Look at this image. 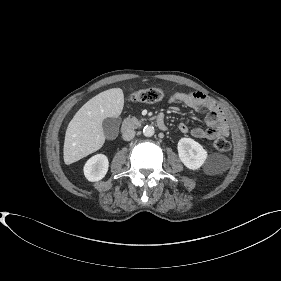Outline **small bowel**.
Returning a JSON list of instances; mask_svg holds the SVG:
<instances>
[{"label": "small bowel", "instance_id": "small-bowel-1", "mask_svg": "<svg viewBox=\"0 0 281 281\" xmlns=\"http://www.w3.org/2000/svg\"><path fill=\"white\" fill-rule=\"evenodd\" d=\"M168 101L172 104L182 103L196 111L207 113L206 128L194 127L189 130L188 126L182 123L178 126V131L181 134H186L190 131L191 135L198 139H213L216 136L229 135V127L223 111L205 94L201 92H176L169 97Z\"/></svg>", "mask_w": 281, "mask_h": 281}]
</instances>
